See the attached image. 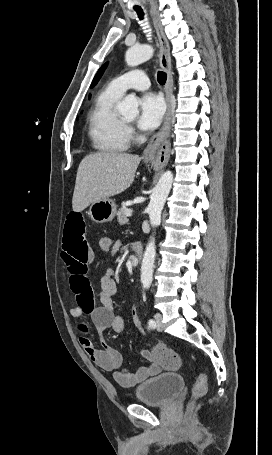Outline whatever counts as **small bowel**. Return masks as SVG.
Masks as SVG:
<instances>
[{
    "mask_svg": "<svg viewBox=\"0 0 272 455\" xmlns=\"http://www.w3.org/2000/svg\"><path fill=\"white\" fill-rule=\"evenodd\" d=\"M86 224L83 217L78 213L68 215L62 238V259L69 273L70 288L76 299V306L70 309L72 318L78 321L77 328L80 332L79 342L88 357L100 368L112 374L115 381L123 387H132L161 371L157 363L141 366L131 372L122 369V355L119 351L108 345L102 344L97 348L87 335V326L81 319L89 315L99 332L111 329L115 333H122L125 329L123 317L117 315L114 310L113 297L117 292V284L114 280L112 268L106 269L101 277V292L99 294V306H95L93 290L88 276V267L94 259V252L85 237ZM122 247L120 241L110 246V253L117 254ZM135 325L141 329L142 323L137 315L136 307L132 309ZM141 356L151 359L149 350L143 349Z\"/></svg>",
    "mask_w": 272,
    "mask_h": 455,
    "instance_id": "small-bowel-1",
    "label": "small bowel"
}]
</instances>
